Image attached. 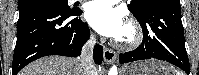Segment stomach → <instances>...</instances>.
<instances>
[{
	"label": "stomach",
	"mask_w": 199,
	"mask_h": 75,
	"mask_svg": "<svg viewBox=\"0 0 199 75\" xmlns=\"http://www.w3.org/2000/svg\"><path fill=\"white\" fill-rule=\"evenodd\" d=\"M171 68L160 61H139L126 65L122 75H170Z\"/></svg>",
	"instance_id": "stomach-1"
}]
</instances>
